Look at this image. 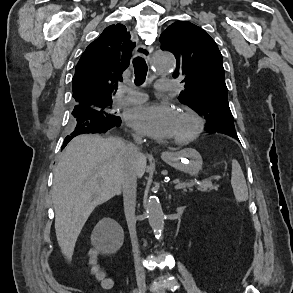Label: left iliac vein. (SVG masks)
Returning <instances> with one entry per match:
<instances>
[{
  "label": "left iliac vein",
  "instance_id": "4c4485c4",
  "mask_svg": "<svg viewBox=\"0 0 293 293\" xmlns=\"http://www.w3.org/2000/svg\"><path fill=\"white\" fill-rule=\"evenodd\" d=\"M149 289L152 293H165L161 288H155L150 286Z\"/></svg>",
  "mask_w": 293,
  "mask_h": 293
}]
</instances>
